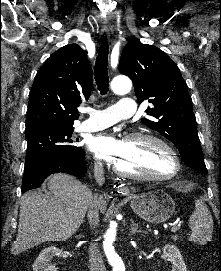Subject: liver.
<instances>
[{
    "instance_id": "6515ba94",
    "label": "liver",
    "mask_w": 221,
    "mask_h": 271,
    "mask_svg": "<svg viewBox=\"0 0 221 271\" xmlns=\"http://www.w3.org/2000/svg\"><path fill=\"white\" fill-rule=\"evenodd\" d=\"M52 197L43 191H26L20 201L18 233L11 253L18 255L42 241H66L80 227L90 203L91 189L68 173H53L47 181ZM101 213L107 201L97 199Z\"/></svg>"
}]
</instances>
